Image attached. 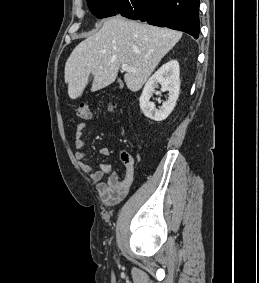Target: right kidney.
<instances>
[{"mask_svg": "<svg viewBox=\"0 0 259 283\" xmlns=\"http://www.w3.org/2000/svg\"><path fill=\"white\" fill-rule=\"evenodd\" d=\"M179 63L177 60H171L160 67L147 81L140 96V108L143 114L154 121L165 120L176 105L179 96L180 79ZM161 85L162 91H168V100L162 103L159 109L155 108L150 98L155 92V88ZM157 95L160 92H156ZM160 103L161 100L158 99Z\"/></svg>", "mask_w": 259, "mask_h": 283, "instance_id": "right-kidney-1", "label": "right kidney"}]
</instances>
